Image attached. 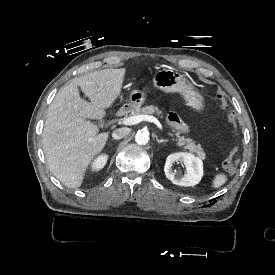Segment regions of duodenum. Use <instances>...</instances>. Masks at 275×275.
Here are the masks:
<instances>
[{"label": "duodenum", "instance_id": "410a0bca", "mask_svg": "<svg viewBox=\"0 0 275 275\" xmlns=\"http://www.w3.org/2000/svg\"><path fill=\"white\" fill-rule=\"evenodd\" d=\"M129 109H130L129 106H124V107L119 108L116 112V116L117 117L124 116L129 111Z\"/></svg>", "mask_w": 275, "mask_h": 275}]
</instances>
